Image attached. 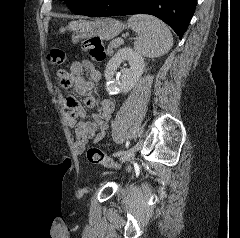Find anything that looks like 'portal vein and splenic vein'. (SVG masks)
<instances>
[{
  "label": "portal vein and splenic vein",
  "instance_id": "obj_1",
  "mask_svg": "<svg viewBox=\"0 0 240 238\" xmlns=\"http://www.w3.org/2000/svg\"><path fill=\"white\" fill-rule=\"evenodd\" d=\"M118 41H119L121 44H123V40H122V39L119 38Z\"/></svg>",
  "mask_w": 240,
  "mask_h": 238
}]
</instances>
